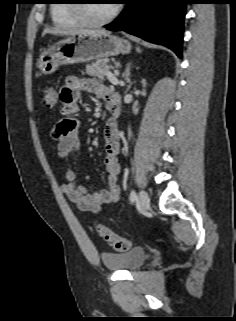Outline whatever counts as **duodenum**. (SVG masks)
<instances>
[{"label":"duodenum","mask_w":236,"mask_h":321,"mask_svg":"<svg viewBox=\"0 0 236 321\" xmlns=\"http://www.w3.org/2000/svg\"><path fill=\"white\" fill-rule=\"evenodd\" d=\"M109 111L113 117L118 118L121 115V100L118 94H113L108 100Z\"/></svg>","instance_id":"1"}]
</instances>
